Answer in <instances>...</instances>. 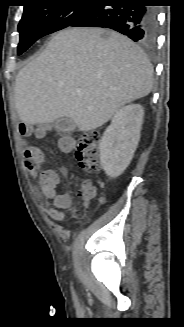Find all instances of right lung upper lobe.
Instances as JSON below:
<instances>
[{
  "mask_svg": "<svg viewBox=\"0 0 184 327\" xmlns=\"http://www.w3.org/2000/svg\"><path fill=\"white\" fill-rule=\"evenodd\" d=\"M27 3H29L28 5H25L24 8L32 5V4H35V3H39V2H43V1H46V0H25Z\"/></svg>",
  "mask_w": 184,
  "mask_h": 327,
  "instance_id": "cb5924a9",
  "label": "right lung upper lobe"
}]
</instances>
